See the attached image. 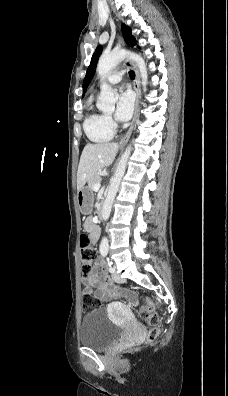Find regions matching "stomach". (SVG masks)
I'll use <instances>...</instances> for the list:
<instances>
[{
	"mask_svg": "<svg viewBox=\"0 0 228 396\" xmlns=\"http://www.w3.org/2000/svg\"><path fill=\"white\" fill-rule=\"evenodd\" d=\"M77 203L80 212L84 215H89L93 209V191L89 187L84 186L81 190L77 192Z\"/></svg>",
	"mask_w": 228,
	"mask_h": 396,
	"instance_id": "stomach-1",
	"label": "stomach"
}]
</instances>
